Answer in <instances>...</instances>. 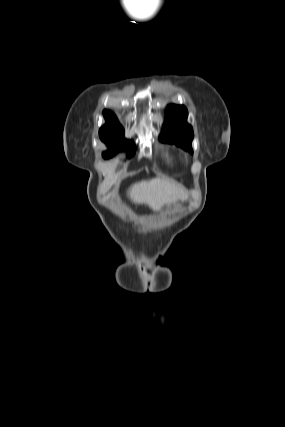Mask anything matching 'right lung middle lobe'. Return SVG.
Returning <instances> with one entry per match:
<instances>
[{
  "label": "right lung middle lobe",
  "instance_id": "obj_1",
  "mask_svg": "<svg viewBox=\"0 0 285 427\" xmlns=\"http://www.w3.org/2000/svg\"><path fill=\"white\" fill-rule=\"evenodd\" d=\"M100 138L110 147L109 151L103 153L104 158H110L118 150H124L127 148L131 151V156L134 154L135 146L129 140L124 138V130L100 133Z\"/></svg>",
  "mask_w": 285,
  "mask_h": 427
}]
</instances>
